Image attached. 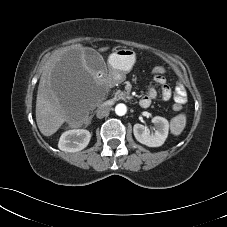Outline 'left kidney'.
Segmentation results:
<instances>
[{"label":"left kidney","mask_w":227,"mask_h":227,"mask_svg":"<svg viewBox=\"0 0 227 227\" xmlns=\"http://www.w3.org/2000/svg\"><path fill=\"white\" fill-rule=\"evenodd\" d=\"M152 122L156 128L154 133L150 134L149 129L142 124H135L133 127L134 136L138 142L148 147L162 146L168 136L169 122L160 116H155Z\"/></svg>","instance_id":"left-kidney-1"}]
</instances>
